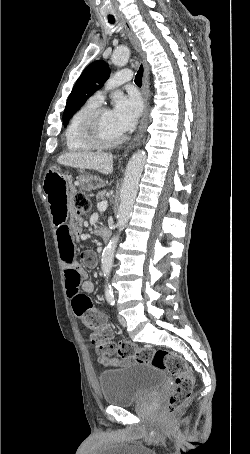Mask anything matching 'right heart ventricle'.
<instances>
[{"mask_svg":"<svg viewBox=\"0 0 250 454\" xmlns=\"http://www.w3.org/2000/svg\"><path fill=\"white\" fill-rule=\"evenodd\" d=\"M97 107V103L88 100L72 115L64 132L66 147L69 151L86 152L94 148L84 140L82 136V124L85 117Z\"/></svg>","mask_w":250,"mask_h":454,"instance_id":"1","label":"right heart ventricle"}]
</instances>
